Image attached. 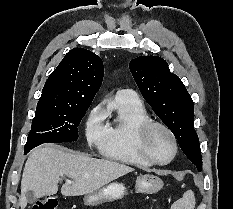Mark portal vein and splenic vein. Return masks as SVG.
<instances>
[{"label":"portal vein and splenic vein","instance_id":"portal-vein-and-splenic-vein-1","mask_svg":"<svg viewBox=\"0 0 233 209\" xmlns=\"http://www.w3.org/2000/svg\"><path fill=\"white\" fill-rule=\"evenodd\" d=\"M67 182H68L69 184H71V183H72L70 180H67Z\"/></svg>","mask_w":233,"mask_h":209}]
</instances>
